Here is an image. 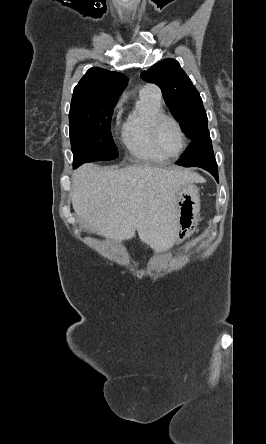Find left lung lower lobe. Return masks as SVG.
Wrapping results in <instances>:
<instances>
[{"label":"left lung lower lobe","mask_w":266,"mask_h":444,"mask_svg":"<svg viewBox=\"0 0 266 444\" xmlns=\"http://www.w3.org/2000/svg\"><path fill=\"white\" fill-rule=\"evenodd\" d=\"M177 164L185 167H201L210 172L218 181V167L209 132L194 140L189 149L177 161Z\"/></svg>","instance_id":"1"}]
</instances>
